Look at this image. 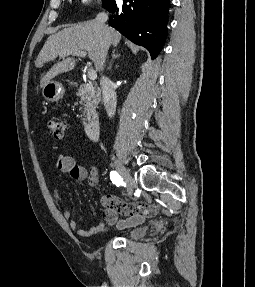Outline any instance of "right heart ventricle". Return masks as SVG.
Segmentation results:
<instances>
[{"label": "right heart ventricle", "instance_id": "1", "mask_svg": "<svg viewBox=\"0 0 255 287\" xmlns=\"http://www.w3.org/2000/svg\"><path fill=\"white\" fill-rule=\"evenodd\" d=\"M88 39V38H87ZM56 48V47H55ZM123 48H135V47H123Z\"/></svg>", "mask_w": 255, "mask_h": 287}]
</instances>
